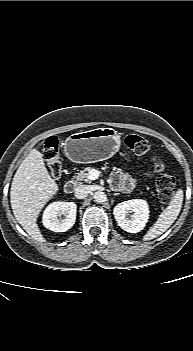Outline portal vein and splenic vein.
<instances>
[{
  "label": "portal vein and splenic vein",
  "instance_id": "portal-vein-and-splenic-vein-1",
  "mask_svg": "<svg viewBox=\"0 0 193 351\" xmlns=\"http://www.w3.org/2000/svg\"><path fill=\"white\" fill-rule=\"evenodd\" d=\"M100 173H101L100 171L93 169L89 172L88 178L90 180H96L98 179Z\"/></svg>",
  "mask_w": 193,
  "mask_h": 351
}]
</instances>
